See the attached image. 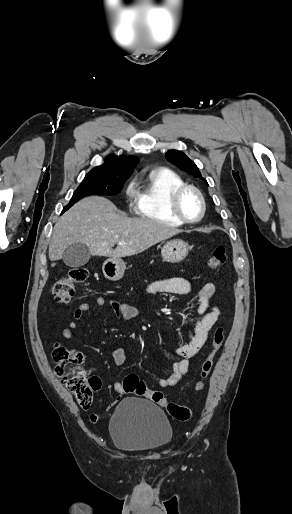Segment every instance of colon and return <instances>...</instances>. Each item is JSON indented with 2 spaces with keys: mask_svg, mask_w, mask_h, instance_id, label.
<instances>
[{
  "mask_svg": "<svg viewBox=\"0 0 292 514\" xmlns=\"http://www.w3.org/2000/svg\"><path fill=\"white\" fill-rule=\"evenodd\" d=\"M226 261V248L218 245L214 247L208 265L211 269H217ZM89 273L82 268H71L67 273L57 279L53 287L55 300L60 305L69 304L73 299L76 288L87 280ZM225 339V328H215L205 354L199 373V380L195 384L196 391H203L205 380L213 369L214 356ZM52 357L55 363V375L61 378L66 389L73 394L77 404L81 408H90L94 402V393L101 387V379L98 376L88 374L83 368L84 354L81 351L54 344ZM125 392L145 397L159 404L169 416L177 420H187L192 411L187 406H181L169 401L160 390L148 388L145 381L136 374H128L122 381ZM92 419L97 417L95 412L90 414Z\"/></svg>",
  "mask_w": 292,
  "mask_h": 514,
  "instance_id": "obj_1",
  "label": "colon"
}]
</instances>
